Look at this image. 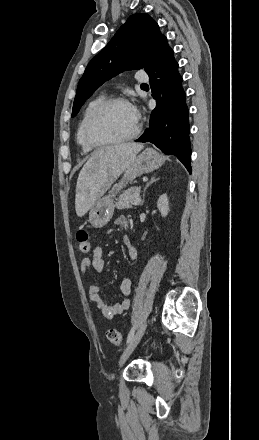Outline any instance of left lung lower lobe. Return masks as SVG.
<instances>
[{"mask_svg":"<svg viewBox=\"0 0 259 440\" xmlns=\"http://www.w3.org/2000/svg\"><path fill=\"white\" fill-rule=\"evenodd\" d=\"M156 108L148 129L136 142H151L167 155H175L191 173L188 108L182 77L173 50L165 38L145 69Z\"/></svg>","mask_w":259,"mask_h":440,"instance_id":"obj_1","label":"left lung lower lobe"}]
</instances>
